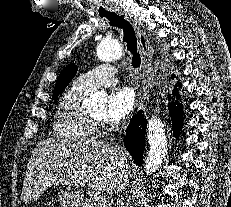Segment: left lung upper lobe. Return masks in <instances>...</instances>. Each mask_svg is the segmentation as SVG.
<instances>
[{"mask_svg": "<svg viewBox=\"0 0 231 207\" xmlns=\"http://www.w3.org/2000/svg\"><path fill=\"white\" fill-rule=\"evenodd\" d=\"M76 72L77 67L74 64H69L61 71L56 81L52 99L56 98L66 88V86L72 80Z\"/></svg>", "mask_w": 231, "mask_h": 207, "instance_id": "5c2ea615", "label": "left lung upper lobe"}]
</instances>
